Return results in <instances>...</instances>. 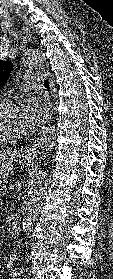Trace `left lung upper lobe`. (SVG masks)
Wrapping results in <instances>:
<instances>
[{"label":"left lung upper lobe","mask_w":113,"mask_h":279,"mask_svg":"<svg viewBox=\"0 0 113 279\" xmlns=\"http://www.w3.org/2000/svg\"><path fill=\"white\" fill-rule=\"evenodd\" d=\"M13 69L11 61H0V85H2L7 79Z\"/></svg>","instance_id":"1"}]
</instances>
